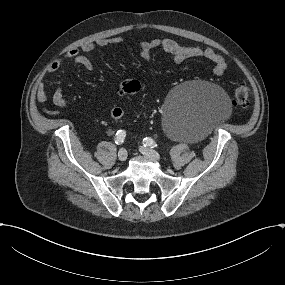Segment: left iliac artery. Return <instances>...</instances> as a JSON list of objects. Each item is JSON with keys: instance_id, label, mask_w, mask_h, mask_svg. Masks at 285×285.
<instances>
[{"instance_id": "obj_1", "label": "left iliac artery", "mask_w": 285, "mask_h": 285, "mask_svg": "<svg viewBox=\"0 0 285 285\" xmlns=\"http://www.w3.org/2000/svg\"><path fill=\"white\" fill-rule=\"evenodd\" d=\"M144 146L146 147V146H149V147H151V148H156V147H158V145H157V143L152 139V138H150V137H146V138H144Z\"/></svg>"}]
</instances>
